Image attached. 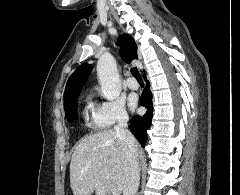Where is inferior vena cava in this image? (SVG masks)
Returning a JSON list of instances; mask_svg holds the SVG:
<instances>
[{"label": "inferior vena cava", "mask_w": 240, "mask_h": 195, "mask_svg": "<svg viewBox=\"0 0 240 195\" xmlns=\"http://www.w3.org/2000/svg\"><path fill=\"white\" fill-rule=\"evenodd\" d=\"M129 117L127 113H121L118 123L115 127L116 135L119 139L124 141L125 145L128 147L129 151V161H130V169H129V177L126 179L124 183L123 195H136L139 179H140V169H139V161H138V145L137 139H135L134 135H132L131 131L127 129Z\"/></svg>", "instance_id": "602c4592"}]
</instances>
